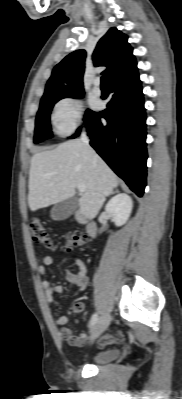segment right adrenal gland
<instances>
[{
	"label": "right adrenal gland",
	"mask_w": 182,
	"mask_h": 399,
	"mask_svg": "<svg viewBox=\"0 0 182 399\" xmlns=\"http://www.w3.org/2000/svg\"><path fill=\"white\" fill-rule=\"evenodd\" d=\"M114 193H118V190H116L115 192H112L110 195L114 194Z\"/></svg>",
	"instance_id": "right-adrenal-gland-1"
}]
</instances>
